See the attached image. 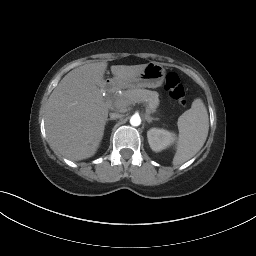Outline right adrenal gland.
I'll use <instances>...</instances> for the list:
<instances>
[{
    "label": "right adrenal gland",
    "mask_w": 256,
    "mask_h": 256,
    "mask_svg": "<svg viewBox=\"0 0 256 256\" xmlns=\"http://www.w3.org/2000/svg\"><path fill=\"white\" fill-rule=\"evenodd\" d=\"M109 120H113V119H111V118H108V119H107V121H109Z\"/></svg>",
    "instance_id": "right-adrenal-gland-1"
}]
</instances>
